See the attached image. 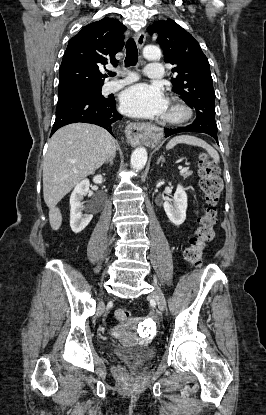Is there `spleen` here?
<instances>
[{"label": "spleen", "instance_id": "spleen-1", "mask_svg": "<svg viewBox=\"0 0 266 415\" xmlns=\"http://www.w3.org/2000/svg\"><path fill=\"white\" fill-rule=\"evenodd\" d=\"M179 143L202 147L209 153V155L213 158L215 163L219 162V154L212 146H210L204 140L190 135H180L172 138L166 145V149H172L175 145Z\"/></svg>", "mask_w": 266, "mask_h": 415}]
</instances>
